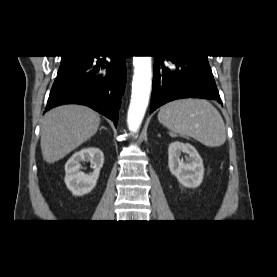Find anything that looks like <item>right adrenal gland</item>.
I'll return each mask as SVG.
<instances>
[{"instance_id":"right-adrenal-gland-1","label":"right adrenal gland","mask_w":277,"mask_h":277,"mask_svg":"<svg viewBox=\"0 0 277 277\" xmlns=\"http://www.w3.org/2000/svg\"><path fill=\"white\" fill-rule=\"evenodd\" d=\"M102 129H105V130H107V128H106V127H104V126H102V127L100 128V130H102Z\"/></svg>"}]
</instances>
